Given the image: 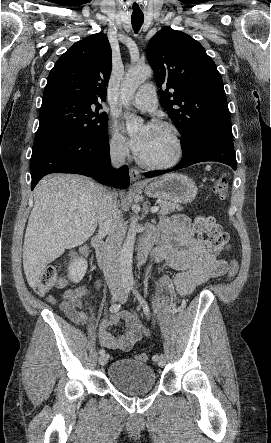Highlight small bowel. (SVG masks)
<instances>
[{
	"label": "small bowel",
	"instance_id": "small-bowel-1",
	"mask_svg": "<svg viewBox=\"0 0 271 443\" xmlns=\"http://www.w3.org/2000/svg\"><path fill=\"white\" fill-rule=\"evenodd\" d=\"M157 259L176 272L171 277H164L159 282V289H173L179 295L189 294L196 286L223 275L227 270V262L194 237L190 220L181 215L175 216L163 229ZM87 297L89 292L84 285L66 289L62 294L60 310L73 323L85 326L88 318L83 307ZM121 323L124 331L116 335L113 329ZM147 334V328L132 311L110 315L100 323L98 329L99 342L103 347L125 352Z\"/></svg>",
	"mask_w": 271,
	"mask_h": 443
}]
</instances>
